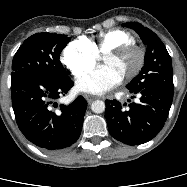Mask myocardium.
<instances>
[{
	"label": "myocardium",
	"instance_id": "f54148a6",
	"mask_svg": "<svg viewBox=\"0 0 187 187\" xmlns=\"http://www.w3.org/2000/svg\"><path fill=\"white\" fill-rule=\"evenodd\" d=\"M136 52L138 54V60L136 63V66L134 67V69L132 71H130L128 74H126L125 76H123V78L125 80H130L133 79L134 77H136L141 70L144 67L145 64V51L144 49L137 45L136 43H125L122 45H119L109 51H107L104 56H113V57H119L122 56L128 52Z\"/></svg>",
	"mask_w": 187,
	"mask_h": 187
}]
</instances>
